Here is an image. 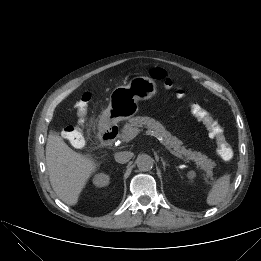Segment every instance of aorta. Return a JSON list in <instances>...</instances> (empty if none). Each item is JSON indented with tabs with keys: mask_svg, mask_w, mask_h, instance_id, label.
I'll list each match as a JSON object with an SVG mask.
<instances>
[{
	"mask_svg": "<svg viewBox=\"0 0 261 261\" xmlns=\"http://www.w3.org/2000/svg\"><path fill=\"white\" fill-rule=\"evenodd\" d=\"M136 165L140 171L147 172L153 168L154 159L147 154L138 155Z\"/></svg>",
	"mask_w": 261,
	"mask_h": 261,
	"instance_id": "762f6f07",
	"label": "aorta"
}]
</instances>
